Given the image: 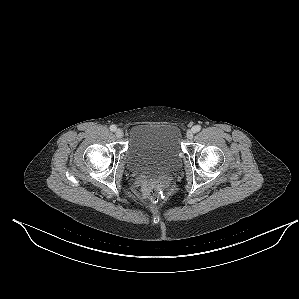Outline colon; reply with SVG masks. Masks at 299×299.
Wrapping results in <instances>:
<instances>
[{
  "mask_svg": "<svg viewBox=\"0 0 299 299\" xmlns=\"http://www.w3.org/2000/svg\"><path fill=\"white\" fill-rule=\"evenodd\" d=\"M165 185L158 182L150 183L146 188V193L151 204L157 203L164 194Z\"/></svg>",
  "mask_w": 299,
  "mask_h": 299,
  "instance_id": "obj_1",
  "label": "colon"
}]
</instances>
